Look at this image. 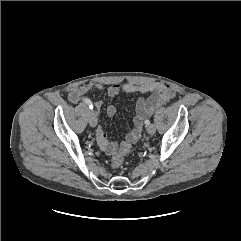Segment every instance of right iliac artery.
I'll use <instances>...</instances> for the list:
<instances>
[{"label": "right iliac artery", "instance_id": "right-iliac-artery-1", "mask_svg": "<svg viewBox=\"0 0 241 241\" xmlns=\"http://www.w3.org/2000/svg\"><path fill=\"white\" fill-rule=\"evenodd\" d=\"M84 103H85L90 109H93V104H92V102H91L90 99L85 98V99H84Z\"/></svg>", "mask_w": 241, "mask_h": 241}]
</instances>
